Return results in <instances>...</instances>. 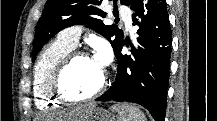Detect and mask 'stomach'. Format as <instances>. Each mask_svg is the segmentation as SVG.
<instances>
[{
    "label": "stomach",
    "mask_w": 217,
    "mask_h": 121,
    "mask_svg": "<svg viewBox=\"0 0 217 121\" xmlns=\"http://www.w3.org/2000/svg\"><path fill=\"white\" fill-rule=\"evenodd\" d=\"M84 121H115V116L104 108L95 107L86 115Z\"/></svg>",
    "instance_id": "stomach-1"
}]
</instances>
